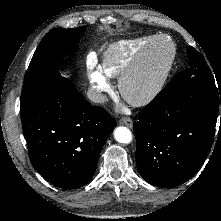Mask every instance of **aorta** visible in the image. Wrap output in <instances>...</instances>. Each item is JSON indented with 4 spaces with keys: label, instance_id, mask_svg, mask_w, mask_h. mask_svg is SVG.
<instances>
[{
    "label": "aorta",
    "instance_id": "aorta-1",
    "mask_svg": "<svg viewBox=\"0 0 221 221\" xmlns=\"http://www.w3.org/2000/svg\"><path fill=\"white\" fill-rule=\"evenodd\" d=\"M114 137L119 143L128 144L132 140L131 131L126 127H117L114 131Z\"/></svg>",
    "mask_w": 221,
    "mask_h": 221
}]
</instances>
